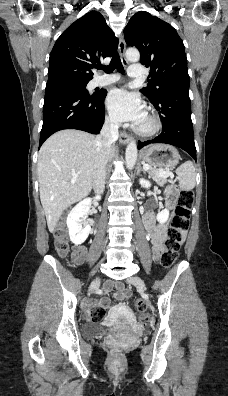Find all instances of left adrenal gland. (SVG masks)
<instances>
[{
  "mask_svg": "<svg viewBox=\"0 0 228 396\" xmlns=\"http://www.w3.org/2000/svg\"><path fill=\"white\" fill-rule=\"evenodd\" d=\"M140 171H143L144 173H146V172L142 169L141 165L138 166L137 173L139 174Z\"/></svg>",
  "mask_w": 228,
  "mask_h": 396,
  "instance_id": "left-adrenal-gland-1",
  "label": "left adrenal gland"
}]
</instances>
